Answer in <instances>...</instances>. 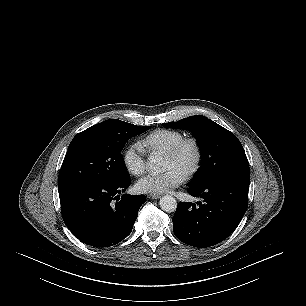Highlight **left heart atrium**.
<instances>
[{
	"mask_svg": "<svg viewBox=\"0 0 306 306\" xmlns=\"http://www.w3.org/2000/svg\"><path fill=\"white\" fill-rule=\"evenodd\" d=\"M184 181V176L175 169H169L159 174H148L136 183L138 191L147 194L165 193L178 187Z\"/></svg>",
	"mask_w": 306,
	"mask_h": 306,
	"instance_id": "39dd6f15",
	"label": "left heart atrium"
}]
</instances>
